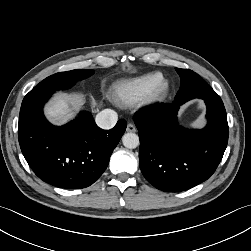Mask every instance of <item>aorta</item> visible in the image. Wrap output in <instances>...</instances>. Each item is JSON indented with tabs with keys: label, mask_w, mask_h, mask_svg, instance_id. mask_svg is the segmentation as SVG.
<instances>
[{
	"label": "aorta",
	"mask_w": 251,
	"mask_h": 251,
	"mask_svg": "<svg viewBox=\"0 0 251 251\" xmlns=\"http://www.w3.org/2000/svg\"><path fill=\"white\" fill-rule=\"evenodd\" d=\"M122 142L126 148L134 149L139 145V137L135 133H126L122 137Z\"/></svg>",
	"instance_id": "762f6f07"
}]
</instances>
